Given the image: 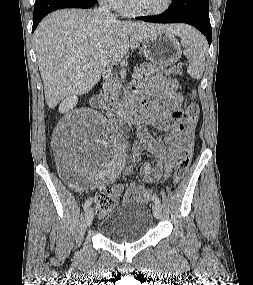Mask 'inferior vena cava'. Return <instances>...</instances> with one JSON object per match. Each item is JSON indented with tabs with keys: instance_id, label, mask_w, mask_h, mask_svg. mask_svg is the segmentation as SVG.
<instances>
[{
	"instance_id": "inferior-vena-cava-1",
	"label": "inferior vena cava",
	"mask_w": 253,
	"mask_h": 285,
	"mask_svg": "<svg viewBox=\"0 0 253 285\" xmlns=\"http://www.w3.org/2000/svg\"><path fill=\"white\" fill-rule=\"evenodd\" d=\"M98 12L102 13L110 21H116V16L110 12V9L108 8V5L106 3L100 5V7L98 8ZM110 74H111V67L109 66L103 72V76L105 79H107L110 77Z\"/></svg>"
}]
</instances>
